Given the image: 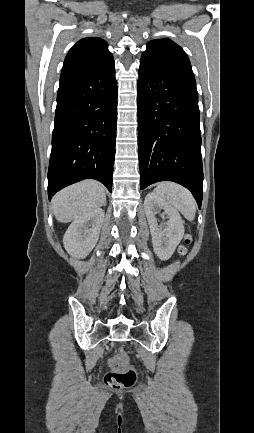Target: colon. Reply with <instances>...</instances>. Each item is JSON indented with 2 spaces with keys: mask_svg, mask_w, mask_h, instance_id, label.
<instances>
[{
  "mask_svg": "<svg viewBox=\"0 0 254 433\" xmlns=\"http://www.w3.org/2000/svg\"><path fill=\"white\" fill-rule=\"evenodd\" d=\"M191 238L187 236L185 238V243H190ZM180 254L186 253V248L184 246L179 249ZM112 371L106 374L105 382L107 385L117 388H130L132 387L137 379V374L135 369L129 365L124 356L115 358L111 362Z\"/></svg>",
  "mask_w": 254,
  "mask_h": 433,
  "instance_id": "5ec220e1",
  "label": "colon"
}]
</instances>
